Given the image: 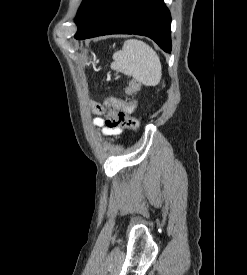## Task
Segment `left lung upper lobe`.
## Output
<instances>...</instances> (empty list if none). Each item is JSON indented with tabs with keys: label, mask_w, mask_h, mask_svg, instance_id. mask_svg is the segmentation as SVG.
<instances>
[{
	"label": "left lung upper lobe",
	"mask_w": 247,
	"mask_h": 275,
	"mask_svg": "<svg viewBox=\"0 0 247 275\" xmlns=\"http://www.w3.org/2000/svg\"><path fill=\"white\" fill-rule=\"evenodd\" d=\"M101 0H83L79 10L77 17L75 19V23L78 28H80L94 8L98 5Z\"/></svg>",
	"instance_id": "1"
}]
</instances>
